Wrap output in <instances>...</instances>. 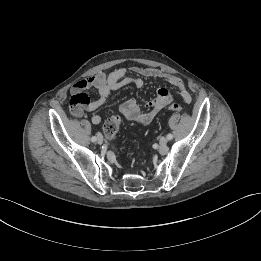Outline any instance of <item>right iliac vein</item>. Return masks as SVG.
<instances>
[{
  "label": "right iliac vein",
  "instance_id": "63e3f726",
  "mask_svg": "<svg viewBox=\"0 0 261 261\" xmlns=\"http://www.w3.org/2000/svg\"><path fill=\"white\" fill-rule=\"evenodd\" d=\"M97 143H98V144H102V143H103V136H102L101 134H99V135L97 136Z\"/></svg>",
  "mask_w": 261,
  "mask_h": 261
}]
</instances>
